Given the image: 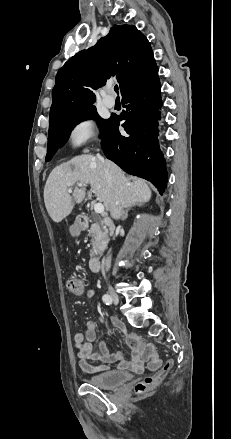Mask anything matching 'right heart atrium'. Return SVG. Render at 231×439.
<instances>
[{
    "instance_id": "1",
    "label": "right heart atrium",
    "mask_w": 231,
    "mask_h": 439,
    "mask_svg": "<svg viewBox=\"0 0 231 439\" xmlns=\"http://www.w3.org/2000/svg\"><path fill=\"white\" fill-rule=\"evenodd\" d=\"M95 126L90 118L77 120L68 132V143L72 148H79L95 138Z\"/></svg>"
}]
</instances>
